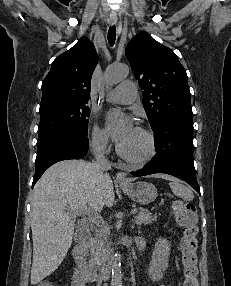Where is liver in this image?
<instances>
[{
  "mask_svg": "<svg viewBox=\"0 0 231 286\" xmlns=\"http://www.w3.org/2000/svg\"><path fill=\"white\" fill-rule=\"evenodd\" d=\"M155 177L172 179L162 174ZM114 199L110 175L95 163L64 160L46 170L31 200L32 285L53 273L66 256L74 234L73 209L97 213L103 207H112Z\"/></svg>",
  "mask_w": 231,
  "mask_h": 286,
  "instance_id": "6515ba94",
  "label": "liver"
}]
</instances>
